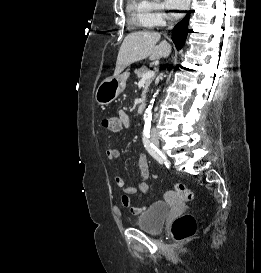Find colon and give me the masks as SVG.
<instances>
[{"label":"colon","instance_id":"5ec220e1","mask_svg":"<svg viewBox=\"0 0 261 273\" xmlns=\"http://www.w3.org/2000/svg\"><path fill=\"white\" fill-rule=\"evenodd\" d=\"M105 128L111 131H119L121 129V121L118 116H109L103 120ZM176 194L186 202H191L194 199L193 192L184 184L175 186ZM196 232L195 218L190 214H185L178 217L172 224L171 233L176 241H186L192 238Z\"/></svg>","mask_w":261,"mask_h":273}]
</instances>
